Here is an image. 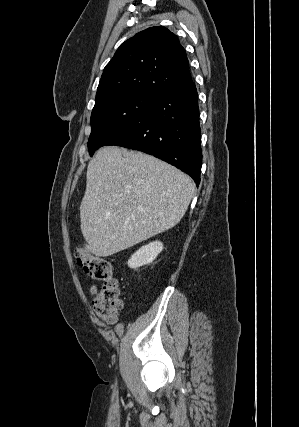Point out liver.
<instances>
[{"instance_id":"1","label":"liver","mask_w":299,"mask_h":427,"mask_svg":"<svg viewBox=\"0 0 299 427\" xmlns=\"http://www.w3.org/2000/svg\"><path fill=\"white\" fill-rule=\"evenodd\" d=\"M194 191L188 175L162 160L101 148L88 164L80 205L86 249L107 257L174 227Z\"/></svg>"}]
</instances>
